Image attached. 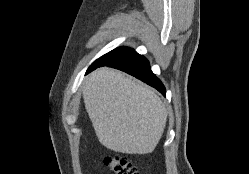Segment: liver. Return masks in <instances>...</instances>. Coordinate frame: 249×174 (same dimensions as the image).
Instances as JSON below:
<instances>
[{"mask_svg":"<svg viewBox=\"0 0 249 174\" xmlns=\"http://www.w3.org/2000/svg\"><path fill=\"white\" fill-rule=\"evenodd\" d=\"M83 99L96 136L107 149L126 154L154 151L164 132L167 112L149 87L103 67L86 79Z\"/></svg>","mask_w":249,"mask_h":174,"instance_id":"obj_1","label":"liver"}]
</instances>
